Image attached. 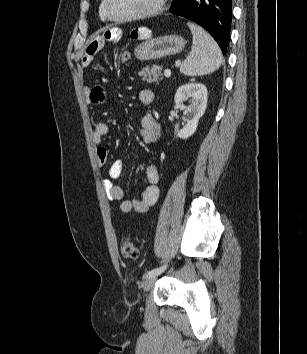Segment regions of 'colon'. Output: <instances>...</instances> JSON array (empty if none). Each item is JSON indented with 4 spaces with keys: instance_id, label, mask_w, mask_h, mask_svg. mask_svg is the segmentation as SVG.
Returning a JSON list of instances; mask_svg holds the SVG:
<instances>
[{
    "instance_id": "colon-1",
    "label": "colon",
    "mask_w": 307,
    "mask_h": 354,
    "mask_svg": "<svg viewBox=\"0 0 307 354\" xmlns=\"http://www.w3.org/2000/svg\"><path fill=\"white\" fill-rule=\"evenodd\" d=\"M130 58V53L126 50L121 51L119 54V60L121 62H126ZM120 249L121 253L125 258L136 259L138 257V249L135 242L129 237H122L120 239Z\"/></svg>"
}]
</instances>
